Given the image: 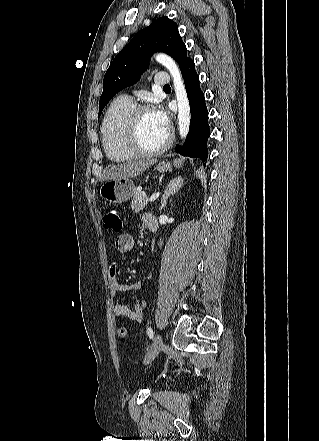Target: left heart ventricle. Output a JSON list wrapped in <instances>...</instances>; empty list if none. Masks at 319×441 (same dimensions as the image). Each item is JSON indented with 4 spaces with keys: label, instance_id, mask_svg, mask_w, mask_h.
<instances>
[{
    "label": "left heart ventricle",
    "instance_id": "b2bd125f",
    "mask_svg": "<svg viewBox=\"0 0 319 441\" xmlns=\"http://www.w3.org/2000/svg\"><path fill=\"white\" fill-rule=\"evenodd\" d=\"M168 130L155 120L152 112L142 114L138 127V139L146 149L159 147L166 139Z\"/></svg>",
    "mask_w": 319,
    "mask_h": 441
}]
</instances>
